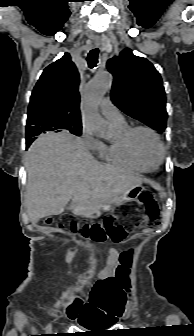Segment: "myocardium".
Here are the masks:
<instances>
[{
	"label": "myocardium",
	"mask_w": 194,
	"mask_h": 336,
	"mask_svg": "<svg viewBox=\"0 0 194 336\" xmlns=\"http://www.w3.org/2000/svg\"><path fill=\"white\" fill-rule=\"evenodd\" d=\"M139 131H145V132L150 133L154 137L155 141L157 142L159 149H160V160L158 161L156 165H153V166L149 165L139 156L136 146H135V135ZM124 141L132 157L142 166L150 170H154L157 167H159L161 163L163 162L164 156H165V148H164V145L162 143V140L159 134L153 128L149 126H145V125H136V126L129 127L124 133Z\"/></svg>",
	"instance_id": "f54148a6"
}]
</instances>
